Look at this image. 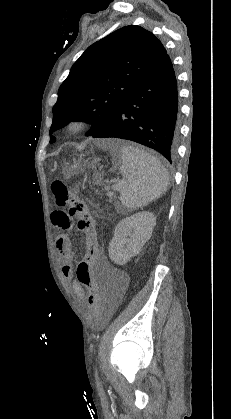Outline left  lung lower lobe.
Returning a JSON list of instances; mask_svg holds the SVG:
<instances>
[{"mask_svg":"<svg viewBox=\"0 0 231 419\" xmlns=\"http://www.w3.org/2000/svg\"><path fill=\"white\" fill-rule=\"evenodd\" d=\"M93 137L135 141L172 163L178 137V92L167 54L138 81L109 124Z\"/></svg>","mask_w":231,"mask_h":419,"instance_id":"obj_1","label":"left lung lower lobe"}]
</instances>
